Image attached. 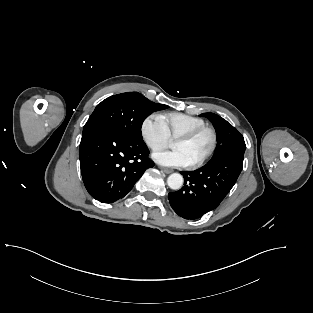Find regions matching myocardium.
<instances>
[{
  "instance_id": "myocardium-1",
  "label": "myocardium",
  "mask_w": 313,
  "mask_h": 313,
  "mask_svg": "<svg viewBox=\"0 0 313 313\" xmlns=\"http://www.w3.org/2000/svg\"><path fill=\"white\" fill-rule=\"evenodd\" d=\"M209 132L212 137V145L209 149V151L199 160L191 163L189 166L191 168H197L205 163H207L215 154L217 147H218V134L217 131L214 127L209 126V125H204L202 127L196 128L192 131H189L187 133L181 134L178 137L175 138V140H180V141H191L201 135L202 133Z\"/></svg>"
}]
</instances>
